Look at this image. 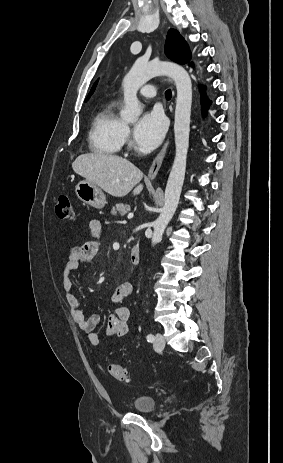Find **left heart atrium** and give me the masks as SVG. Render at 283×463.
Wrapping results in <instances>:
<instances>
[{
	"label": "left heart atrium",
	"instance_id": "1",
	"mask_svg": "<svg viewBox=\"0 0 283 463\" xmlns=\"http://www.w3.org/2000/svg\"><path fill=\"white\" fill-rule=\"evenodd\" d=\"M167 130V122L159 110H151L143 114L134 129V139L141 148L151 150L163 140Z\"/></svg>",
	"mask_w": 283,
	"mask_h": 463
}]
</instances>
